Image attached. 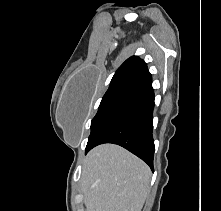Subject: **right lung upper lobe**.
Listing matches in <instances>:
<instances>
[{
  "mask_svg": "<svg viewBox=\"0 0 221 211\" xmlns=\"http://www.w3.org/2000/svg\"><path fill=\"white\" fill-rule=\"evenodd\" d=\"M152 85L146 63L137 56L127 59L115 72L107 92L116 90L140 91Z\"/></svg>",
  "mask_w": 221,
  "mask_h": 211,
  "instance_id": "1",
  "label": "right lung upper lobe"
}]
</instances>
